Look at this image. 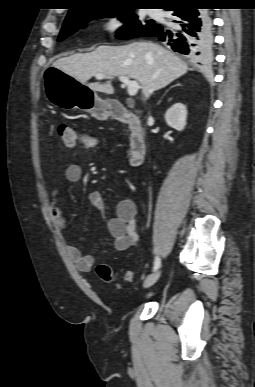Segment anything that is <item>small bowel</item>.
<instances>
[{"label":"small bowel","instance_id":"obj_1","mask_svg":"<svg viewBox=\"0 0 255 387\" xmlns=\"http://www.w3.org/2000/svg\"><path fill=\"white\" fill-rule=\"evenodd\" d=\"M65 179L70 184H75L82 177V168L78 164H70L65 169ZM59 190L54 188L51 193V214L57 228L60 231H66L70 227V222L58 206ZM91 206L99 213L104 211V200L100 192L92 191L88 196ZM137 209L131 199L120 201L114 211V214L106 223V231L112 239L113 247L116 251H125L134 247L139 235L137 228ZM68 254L74 262L76 268L81 272H89L94 265V258L91 255L83 254L77 247L68 245Z\"/></svg>","mask_w":255,"mask_h":387}]
</instances>
